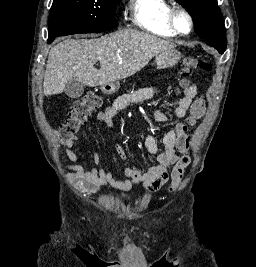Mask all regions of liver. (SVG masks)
Here are the masks:
<instances>
[{"label":"liver","instance_id":"6515ba94","mask_svg":"<svg viewBox=\"0 0 256 267\" xmlns=\"http://www.w3.org/2000/svg\"><path fill=\"white\" fill-rule=\"evenodd\" d=\"M173 42L138 30H118L98 40H65L49 52L43 94H61L69 80L84 86H103L133 76ZM100 62V70L94 68Z\"/></svg>","mask_w":256,"mask_h":267}]
</instances>
